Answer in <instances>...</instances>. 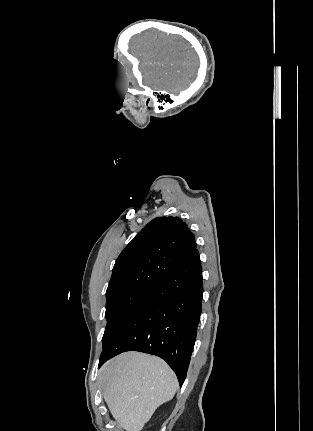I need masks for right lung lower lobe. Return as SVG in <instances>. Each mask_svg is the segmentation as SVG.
<instances>
[{
  "label": "right lung lower lobe",
  "instance_id": "obj_1",
  "mask_svg": "<svg viewBox=\"0 0 313 431\" xmlns=\"http://www.w3.org/2000/svg\"><path fill=\"white\" fill-rule=\"evenodd\" d=\"M202 269L197 249L158 284L103 347L99 366L125 351L165 360L183 384L202 311Z\"/></svg>",
  "mask_w": 313,
  "mask_h": 431
}]
</instances>
